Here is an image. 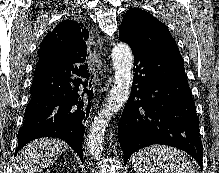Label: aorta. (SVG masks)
<instances>
[{
    "instance_id": "762f6f07",
    "label": "aorta",
    "mask_w": 219,
    "mask_h": 173,
    "mask_svg": "<svg viewBox=\"0 0 219 173\" xmlns=\"http://www.w3.org/2000/svg\"><path fill=\"white\" fill-rule=\"evenodd\" d=\"M114 83L98 116L94 118L85 138L91 156L100 160L103 153V136L108 122L127 102L133 82V54L125 43H118L112 50Z\"/></svg>"
}]
</instances>
